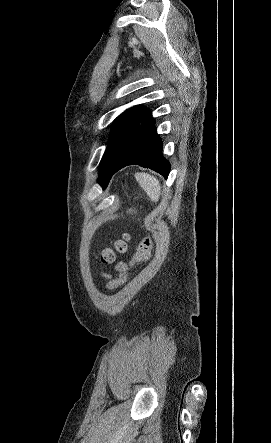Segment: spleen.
<instances>
[{
	"label": "spleen",
	"instance_id": "spleen-1",
	"mask_svg": "<svg viewBox=\"0 0 271 443\" xmlns=\"http://www.w3.org/2000/svg\"><path fill=\"white\" fill-rule=\"evenodd\" d=\"M135 178L139 186H141L147 196H149L150 200H152V202H158L161 190L158 180H156L154 176H150V174H144V172L135 174Z\"/></svg>",
	"mask_w": 271,
	"mask_h": 443
}]
</instances>
